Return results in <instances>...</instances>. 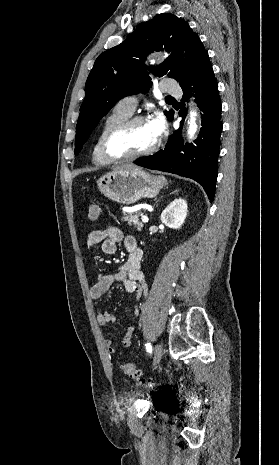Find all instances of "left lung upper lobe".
I'll return each instance as SVG.
<instances>
[{
	"label": "left lung upper lobe",
	"instance_id": "5c2ea615",
	"mask_svg": "<svg viewBox=\"0 0 279 465\" xmlns=\"http://www.w3.org/2000/svg\"><path fill=\"white\" fill-rule=\"evenodd\" d=\"M172 54L160 65L147 67L146 56L153 51ZM207 52L189 24L171 13L143 22L121 44L102 53L95 61L85 85V99L76 126L75 155L89 138L99 120L121 98L147 91L151 85L148 69L155 76L185 81ZM173 111H165L169 120Z\"/></svg>",
	"mask_w": 279,
	"mask_h": 465
}]
</instances>
